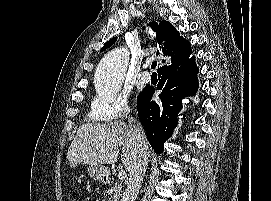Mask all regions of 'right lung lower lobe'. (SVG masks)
<instances>
[{
  "mask_svg": "<svg viewBox=\"0 0 271 201\" xmlns=\"http://www.w3.org/2000/svg\"><path fill=\"white\" fill-rule=\"evenodd\" d=\"M181 57L161 66L158 76L161 78L157 89L161 102L151 101L155 89L147 86L137 98L138 116L145 128L148 141L154 152L164 150V142L172 135L177 124V114L182 108L181 100L197 90V66L191 54L190 44L185 43Z\"/></svg>",
  "mask_w": 271,
  "mask_h": 201,
  "instance_id": "1",
  "label": "right lung lower lobe"
}]
</instances>
